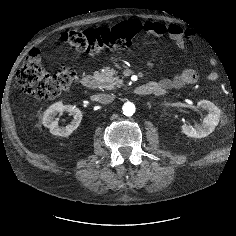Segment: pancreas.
Segmentation results:
<instances>
[{
	"label": "pancreas",
	"mask_w": 236,
	"mask_h": 236,
	"mask_svg": "<svg viewBox=\"0 0 236 236\" xmlns=\"http://www.w3.org/2000/svg\"><path fill=\"white\" fill-rule=\"evenodd\" d=\"M116 75L117 72L110 67H106L100 73H95L99 88L106 90L120 88L122 86V80Z\"/></svg>",
	"instance_id": "cf45deb5"
}]
</instances>
